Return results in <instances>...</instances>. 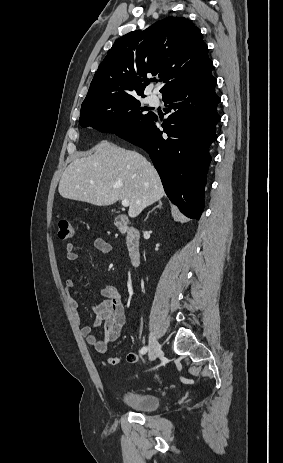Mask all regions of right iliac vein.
Masks as SVG:
<instances>
[{"label":"right iliac vein","mask_w":283,"mask_h":463,"mask_svg":"<svg viewBox=\"0 0 283 463\" xmlns=\"http://www.w3.org/2000/svg\"><path fill=\"white\" fill-rule=\"evenodd\" d=\"M160 354V345L154 334L150 336L148 358L150 361H154Z\"/></svg>","instance_id":"right-iliac-vein-1"}]
</instances>
